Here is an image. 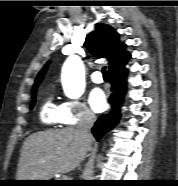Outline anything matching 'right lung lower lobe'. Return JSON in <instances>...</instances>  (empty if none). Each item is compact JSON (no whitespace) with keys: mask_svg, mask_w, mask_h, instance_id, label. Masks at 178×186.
I'll list each match as a JSON object with an SVG mask.
<instances>
[{"mask_svg":"<svg viewBox=\"0 0 178 186\" xmlns=\"http://www.w3.org/2000/svg\"><path fill=\"white\" fill-rule=\"evenodd\" d=\"M109 81L111 83V95L108 99L111 110L101 115L96 121L92 132L97 140H100L107 132L114 128L121 117L120 108L123 104V97L126 92V78L128 70L126 64L113 70H109Z\"/></svg>","mask_w":178,"mask_h":186,"instance_id":"right-lung-lower-lobe-1","label":"right lung lower lobe"}]
</instances>
